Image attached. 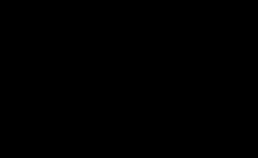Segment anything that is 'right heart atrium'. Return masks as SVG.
Returning a JSON list of instances; mask_svg holds the SVG:
<instances>
[{"instance_id":"1","label":"right heart atrium","mask_w":258,"mask_h":158,"mask_svg":"<svg viewBox=\"0 0 258 158\" xmlns=\"http://www.w3.org/2000/svg\"><path fill=\"white\" fill-rule=\"evenodd\" d=\"M105 62L116 75H121L129 71L128 64L121 58L118 53L107 52L105 54Z\"/></svg>"}]
</instances>
